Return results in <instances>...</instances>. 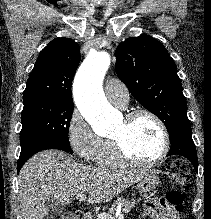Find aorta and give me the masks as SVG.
I'll return each mask as SVG.
<instances>
[{
    "label": "aorta",
    "instance_id": "obj_1",
    "mask_svg": "<svg viewBox=\"0 0 211 219\" xmlns=\"http://www.w3.org/2000/svg\"><path fill=\"white\" fill-rule=\"evenodd\" d=\"M109 66L110 56L107 52H90L79 67L73 85L77 108L99 136L110 134L117 117L102 89Z\"/></svg>",
    "mask_w": 211,
    "mask_h": 219
}]
</instances>
